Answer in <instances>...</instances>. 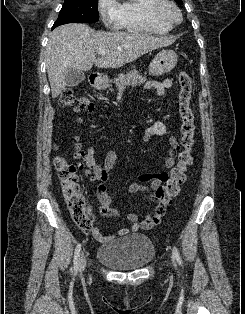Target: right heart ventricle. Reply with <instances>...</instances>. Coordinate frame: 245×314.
<instances>
[{
	"label": "right heart ventricle",
	"instance_id": "1",
	"mask_svg": "<svg viewBox=\"0 0 245 314\" xmlns=\"http://www.w3.org/2000/svg\"><path fill=\"white\" fill-rule=\"evenodd\" d=\"M159 0H125L118 4L117 26L133 33L165 34L171 25L152 16L151 9Z\"/></svg>",
	"mask_w": 245,
	"mask_h": 314
}]
</instances>
